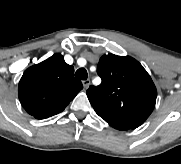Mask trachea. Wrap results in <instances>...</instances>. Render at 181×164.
I'll use <instances>...</instances> for the list:
<instances>
[{"mask_svg":"<svg viewBox=\"0 0 181 164\" xmlns=\"http://www.w3.org/2000/svg\"><path fill=\"white\" fill-rule=\"evenodd\" d=\"M75 76L81 80H86L88 77L87 70L85 68H79L76 71Z\"/></svg>","mask_w":181,"mask_h":164,"instance_id":"trachea-1","label":"trachea"}]
</instances>
